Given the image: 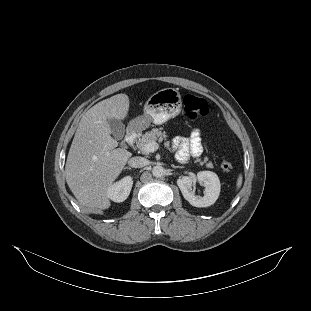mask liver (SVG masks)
<instances>
[{
	"mask_svg": "<svg viewBox=\"0 0 311 311\" xmlns=\"http://www.w3.org/2000/svg\"><path fill=\"white\" fill-rule=\"evenodd\" d=\"M150 94L149 96H151ZM130 97L120 93L102 100L82 117L65 165V181L81 206L90 212L111 207L108 189L123 172L132 153L118 148L110 119L129 118Z\"/></svg>",
	"mask_w": 311,
	"mask_h": 311,
	"instance_id": "liver-1",
	"label": "liver"
}]
</instances>
